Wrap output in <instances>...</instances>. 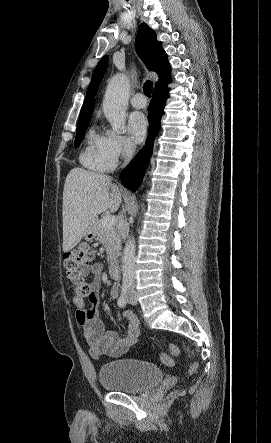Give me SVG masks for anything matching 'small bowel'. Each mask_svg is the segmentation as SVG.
Masks as SVG:
<instances>
[{"label":"small bowel","instance_id":"small-bowel-1","mask_svg":"<svg viewBox=\"0 0 271 443\" xmlns=\"http://www.w3.org/2000/svg\"><path fill=\"white\" fill-rule=\"evenodd\" d=\"M84 277L91 276L92 294L89 298L90 306L85 307L84 299L74 295L73 301L78 310L76 318L83 329V335L90 353L97 358L102 355L119 357L125 354L139 339L138 321L132 312H125L124 318L127 323V332L120 336L114 332H105L97 310L99 301V291L102 285L103 267L99 263H94L81 270ZM118 296V287L114 286L110 297L115 299Z\"/></svg>","mask_w":271,"mask_h":443}]
</instances>
